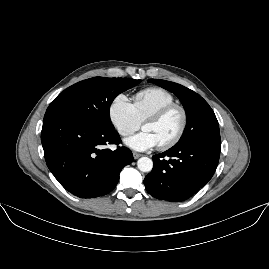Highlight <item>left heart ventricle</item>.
I'll return each mask as SVG.
<instances>
[{
  "label": "left heart ventricle",
  "instance_id": "obj_1",
  "mask_svg": "<svg viewBox=\"0 0 269 269\" xmlns=\"http://www.w3.org/2000/svg\"><path fill=\"white\" fill-rule=\"evenodd\" d=\"M180 126V113L172 111L165 116L147 120L143 125V129L152 134L158 146H162L176 135Z\"/></svg>",
  "mask_w": 269,
  "mask_h": 269
}]
</instances>
